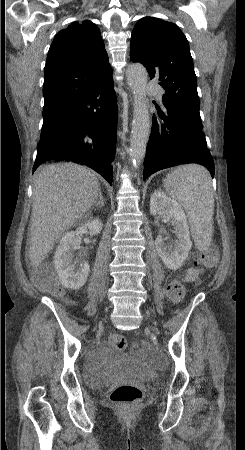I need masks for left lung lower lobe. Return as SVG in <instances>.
<instances>
[{"instance_id": "1", "label": "left lung lower lobe", "mask_w": 245, "mask_h": 450, "mask_svg": "<svg viewBox=\"0 0 245 450\" xmlns=\"http://www.w3.org/2000/svg\"><path fill=\"white\" fill-rule=\"evenodd\" d=\"M166 112L152 118L143 179L165 168L200 163L214 177V162L207 148L203 126L179 106L164 103Z\"/></svg>"}]
</instances>
